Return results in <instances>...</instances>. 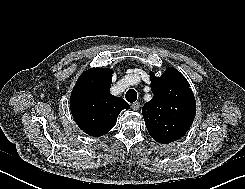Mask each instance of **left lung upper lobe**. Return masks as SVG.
Wrapping results in <instances>:
<instances>
[{"label":"left lung upper lobe","mask_w":245,"mask_h":189,"mask_svg":"<svg viewBox=\"0 0 245 189\" xmlns=\"http://www.w3.org/2000/svg\"><path fill=\"white\" fill-rule=\"evenodd\" d=\"M153 98L142 108L150 136L166 144L181 138L190 128L196 101L185 77L175 68H167L162 76L150 72Z\"/></svg>","instance_id":"obj_1"}]
</instances>
